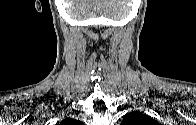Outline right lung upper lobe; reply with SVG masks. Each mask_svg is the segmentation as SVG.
Here are the masks:
<instances>
[{"label":"right lung upper lobe","instance_id":"obj_1","mask_svg":"<svg viewBox=\"0 0 196 125\" xmlns=\"http://www.w3.org/2000/svg\"><path fill=\"white\" fill-rule=\"evenodd\" d=\"M70 122H73V120L65 119V120L62 121V124H66V123H70Z\"/></svg>","mask_w":196,"mask_h":125}]
</instances>
